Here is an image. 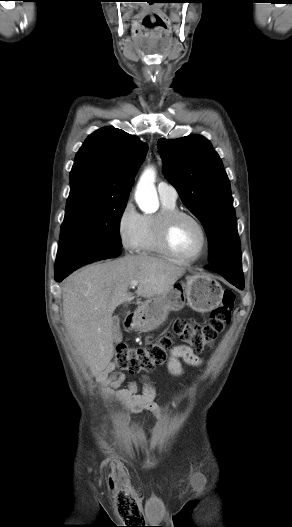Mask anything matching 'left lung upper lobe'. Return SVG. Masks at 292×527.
Wrapping results in <instances>:
<instances>
[{
    "instance_id": "obj_1",
    "label": "left lung upper lobe",
    "mask_w": 292,
    "mask_h": 527,
    "mask_svg": "<svg viewBox=\"0 0 292 527\" xmlns=\"http://www.w3.org/2000/svg\"><path fill=\"white\" fill-rule=\"evenodd\" d=\"M165 178L208 235L209 262L241 261L230 182L221 159L200 135L158 140Z\"/></svg>"
}]
</instances>
